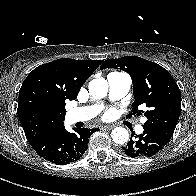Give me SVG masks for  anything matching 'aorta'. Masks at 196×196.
Wrapping results in <instances>:
<instances>
[{
  "label": "aorta",
  "mask_w": 196,
  "mask_h": 196,
  "mask_svg": "<svg viewBox=\"0 0 196 196\" xmlns=\"http://www.w3.org/2000/svg\"><path fill=\"white\" fill-rule=\"evenodd\" d=\"M89 92L96 99L104 98L108 93V83L104 78L93 79L89 83ZM111 136L116 144L123 145L129 139V133L126 128L116 127L112 130Z\"/></svg>",
  "instance_id": "1"
}]
</instances>
